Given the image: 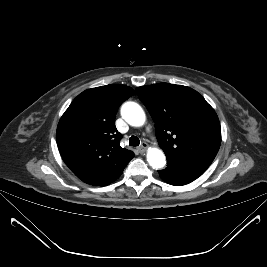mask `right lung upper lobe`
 <instances>
[{
  "instance_id": "obj_1",
  "label": "right lung upper lobe",
  "mask_w": 267,
  "mask_h": 267,
  "mask_svg": "<svg viewBox=\"0 0 267 267\" xmlns=\"http://www.w3.org/2000/svg\"><path fill=\"white\" fill-rule=\"evenodd\" d=\"M135 92L111 84L79 94L61 117L56 140L64 162L87 184L99 186L124 170L134 153L120 146L119 106Z\"/></svg>"
}]
</instances>
